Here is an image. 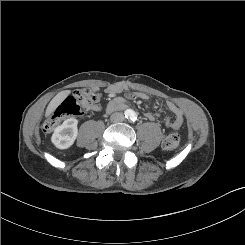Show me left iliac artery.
<instances>
[{"mask_svg":"<svg viewBox=\"0 0 245 245\" xmlns=\"http://www.w3.org/2000/svg\"><path fill=\"white\" fill-rule=\"evenodd\" d=\"M136 118H137V117H136V115H135V114H133V115H132V120H133V121H135V120H136Z\"/></svg>","mask_w":245,"mask_h":245,"instance_id":"1","label":"left iliac artery"}]
</instances>
